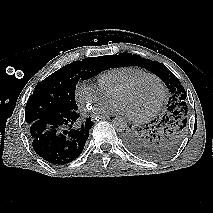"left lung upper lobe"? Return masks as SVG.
Segmentation results:
<instances>
[{
	"mask_svg": "<svg viewBox=\"0 0 213 213\" xmlns=\"http://www.w3.org/2000/svg\"><path fill=\"white\" fill-rule=\"evenodd\" d=\"M115 66H140L157 75L168 87L171 96L162 118L164 123L153 138L149 158L164 159L174 153L186 134L188 107L186 93L180 81L164 65L131 53L114 56ZM166 115V117H165Z\"/></svg>",
	"mask_w": 213,
	"mask_h": 213,
	"instance_id": "5c2ea615",
	"label": "left lung upper lobe"
}]
</instances>
